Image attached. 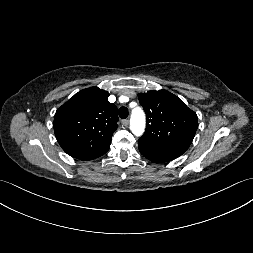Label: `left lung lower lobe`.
Wrapping results in <instances>:
<instances>
[{"instance_id":"1","label":"left lung lower lobe","mask_w":253,"mask_h":253,"mask_svg":"<svg viewBox=\"0 0 253 253\" xmlns=\"http://www.w3.org/2000/svg\"><path fill=\"white\" fill-rule=\"evenodd\" d=\"M139 151L143 156L147 159L156 162V163H163L172 161L178 158L180 155L172 152L162 151L154 148H149L146 146L139 145Z\"/></svg>"}]
</instances>
